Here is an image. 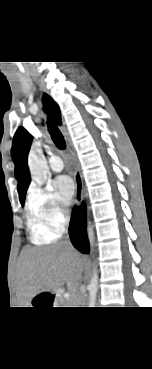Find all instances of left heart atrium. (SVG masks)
Returning <instances> with one entry per match:
<instances>
[{"label":"left heart atrium","instance_id":"39dd6f15","mask_svg":"<svg viewBox=\"0 0 152 369\" xmlns=\"http://www.w3.org/2000/svg\"><path fill=\"white\" fill-rule=\"evenodd\" d=\"M55 188L62 200L66 204H70L75 193V184L68 175H61L54 182Z\"/></svg>","mask_w":152,"mask_h":369}]
</instances>
